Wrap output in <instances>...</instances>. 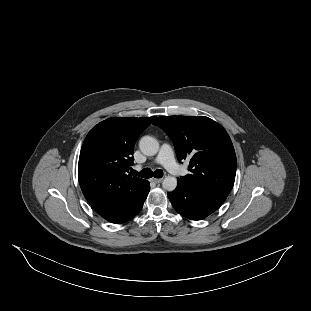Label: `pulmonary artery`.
<instances>
[{
  "instance_id": "obj_1",
  "label": "pulmonary artery",
  "mask_w": 311,
  "mask_h": 311,
  "mask_svg": "<svg viewBox=\"0 0 311 311\" xmlns=\"http://www.w3.org/2000/svg\"><path fill=\"white\" fill-rule=\"evenodd\" d=\"M156 164L162 165L168 171L172 172L176 163L174 158V153L169 144H163L154 159Z\"/></svg>"
}]
</instances>
